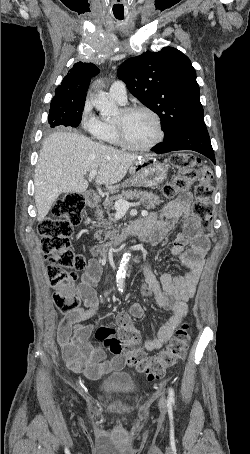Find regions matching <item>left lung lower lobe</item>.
<instances>
[{
    "label": "left lung lower lobe",
    "mask_w": 250,
    "mask_h": 454,
    "mask_svg": "<svg viewBox=\"0 0 250 454\" xmlns=\"http://www.w3.org/2000/svg\"><path fill=\"white\" fill-rule=\"evenodd\" d=\"M152 150L158 154L176 150H193L205 155L215 163V155L205 123L185 128L174 138L155 145Z\"/></svg>",
    "instance_id": "0a47b994"
}]
</instances>
